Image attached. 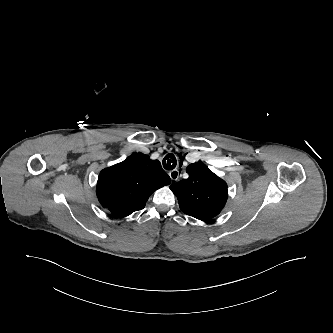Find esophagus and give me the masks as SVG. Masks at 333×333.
I'll return each instance as SVG.
<instances>
[{"mask_svg":"<svg viewBox=\"0 0 333 333\" xmlns=\"http://www.w3.org/2000/svg\"><path fill=\"white\" fill-rule=\"evenodd\" d=\"M169 176L172 180V182H177L180 180L181 178V173L179 169H174L172 171H170Z\"/></svg>","mask_w":333,"mask_h":333,"instance_id":"34e87169","label":"esophagus"}]
</instances>
